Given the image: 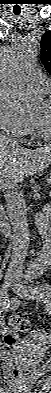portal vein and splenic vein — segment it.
Instances as JSON below:
<instances>
[{
    "mask_svg": "<svg viewBox=\"0 0 51 393\" xmlns=\"http://www.w3.org/2000/svg\"><path fill=\"white\" fill-rule=\"evenodd\" d=\"M2 185H3V186H8V187H12V188H13V185H12V184H8V185H7V184H5L3 181H2Z\"/></svg>",
    "mask_w": 51,
    "mask_h": 393,
    "instance_id": "portal-vein-and-splenic-vein-1",
    "label": "portal vein and splenic vein"
}]
</instances>
